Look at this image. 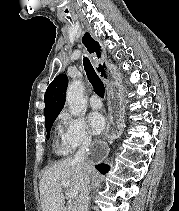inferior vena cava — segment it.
Wrapping results in <instances>:
<instances>
[{"label":"inferior vena cava","mask_w":179,"mask_h":211,"mask_svg":"<svg viewBox=\"0 0 179 211\" xmlns=\"http://www.w3.org/2000/svg\"><path fill=\"white\" fill-rule=\"evenodd\" d=\"M90 142H91L90 137L85 138L82 146L74 155V160L80 162L86 171H87V167H86V164L84 163V160H85L86 150ZM89 183H90V176H89V173L86 172L85 178H84V186H83L80 199H79L78 211H88L89 193H90Z\"/></svg>","instance_id":"602c4592"}]
</instances>
